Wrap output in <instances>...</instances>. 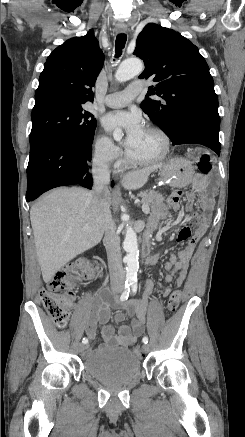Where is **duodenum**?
<instances>
[{"mask_svg":"<svg viewBox=\"0 0 245 437\" xmlns=\"http://www.w3.org/2000/svg\"><path fill=\"white\" fill-rule=\"evenodd\" d=\"M150 234L147 232L144 237L143 246H142V255L145 258V264L147 266L151 265V256H149L150 251Z\"/></svg>","mask_w":245,"mask_h":437,"instance_id":"1","label":"duodenum"}]
</instances>
